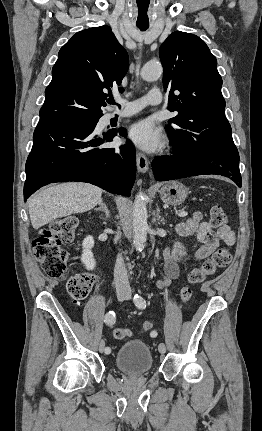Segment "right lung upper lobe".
Instances as JSON below:
<instances>
[{"mask_svg": "<svg viewBox=\"0 0 262 431\" xmlns=\"http://www.w3.org/2000/svg\"><path fill=\"white\" fill-rule=\"evenodd\" d=\"M128 66V54L110 27L76 33L58 53L40 120L100 118L107 91L120 85Z\"/></svg>", "mask_w": 262, "mask_h": 431, "instance_id": "right-lung-upper-lobe-1", "label": "right lung upper lobe"}]
</instances>
